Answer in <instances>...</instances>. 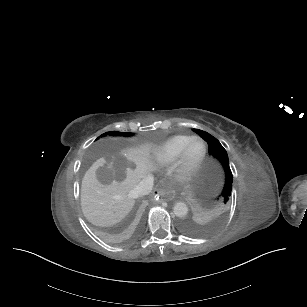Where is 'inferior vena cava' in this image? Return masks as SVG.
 <instances>
[{"mask_svg":"<svg viewBox=\"0 0 307 307\" xmlns=\"http://www.w3.org/2000/svg\"><path fill=\"white\" fill-rule=\"evenodd\" d=\"M154 178L152 176H147L143 180H141L138 185L132 190V194L135 198L141 197L144 195H148L154 185Z\"/></svg>","mask_w":307,"mask_h":307,"instance_id":"602c4592","label":"inferior vena cava"}]
</instances>
